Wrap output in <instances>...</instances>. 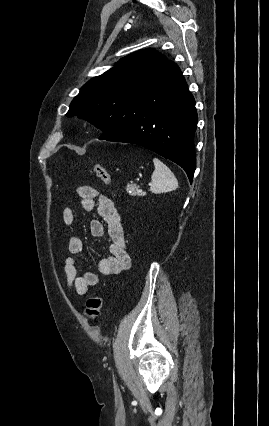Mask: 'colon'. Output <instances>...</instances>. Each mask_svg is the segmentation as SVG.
<instances>
[{"instance_id":"colon-1","label":"colon","mask_w":269,"mask_h":426,"mask_svg":"<svg viewBox=\"0 0 269 426\" xmlns=\"http://www.w3.org/2000/svg\"><path fill=\"white\" fill-rule=\"evenodd\" d=\"M91 172L101 182L105 184L111 183L110 174L102 164H93ZM102 308L103 297L100 294L92 295L87 299L85 313L89 318L95 319L100 315Z\"/></svg>"}]
</instances>
